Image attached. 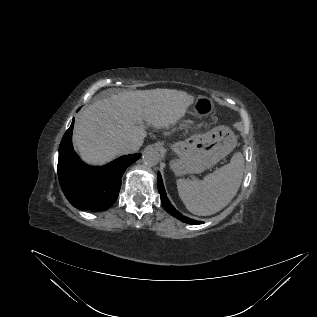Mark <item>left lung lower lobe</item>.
<instances>
[{
  "mask_svg": "<svg viewBox=\"0 0 317 317\" xmlns=\"http://www.w3.org/2000/svg\"><path fill=\"white\" fill-rule=\"evenodd\" d=\"M158 191L160 193V197H161V201L165 207V209L167 210L168 213H170L172 216L176 217L177 219L188 223V224H192V225H197V224H202L201 221H196L190 218H187L185 216H183L181 213H179L174 206L170 203V201L168 200L167 196H166V192L163 186V181H162V177L160 175V173L158 172Z\"/></svg>",
  "mask_w": 317,
  "mask_h": 317,
  "instance_id": "0a47b994",
  "label": "left lung lower lobe"
}]
</instances>
